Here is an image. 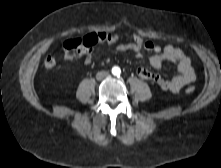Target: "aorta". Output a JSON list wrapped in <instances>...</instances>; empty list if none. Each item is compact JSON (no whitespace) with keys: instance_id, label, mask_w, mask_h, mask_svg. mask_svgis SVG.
<instances>
[{"instance_id":"obj_1","label":"aorta","mask_w":221,"mask_h":168,"mask_svg":"<svg viewBox=\"0 0 221 168\" xmlns=\"http://www.w3.org/2000/svg\"><path fill=\"white\" fill-rule=\"evenodd\" d=\"M112 72H113L114 75H118L120 73V69L118 67H114L112 69Z\"/></svg>"}]
</instances>
